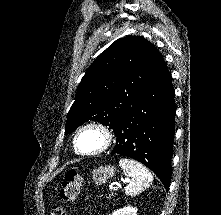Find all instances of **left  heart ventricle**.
I'll return each mask as SVG.
<instances>
[{"label": "left heart ventricle", "instance_id": "b2bd125f", "mask_svg": "<svg viewBox=\"0 0 221 215\" xmlns=\"http://www.w3.org/2000/svg\"><path fill=\"white\" fill-rule=\"evenodd\" d=\"M102 142V136L96 130H87L83 132L78 140L79 148L86 152L98 149L102 145Z\"/></svg>", "mask_w": 221, "mask_h": 215}]
</instances>
